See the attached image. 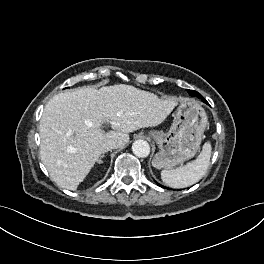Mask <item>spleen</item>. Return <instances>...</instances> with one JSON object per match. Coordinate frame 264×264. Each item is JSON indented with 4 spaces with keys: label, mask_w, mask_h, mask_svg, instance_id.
Segmentation results:
<instances>
[{
    "label": "spleen",
    "mask_w": 264,
    "mask_h": 264,
    "mask_svg": "<svg viewBox=\"0 0 264 264\" xmlns=\"http://www.w3.org/2000/svg\"><path fill=\"white\" fill-rule=\"evenodd\" d=\"M211 144L206 142L197 159L174 170H163L162 181L173 188H184L198 182L207 172L210 165Z\"/></svg>",
    "instance_id": "spleen-1"
}]
</instances>
